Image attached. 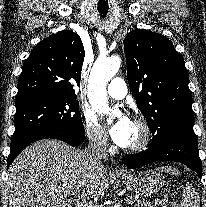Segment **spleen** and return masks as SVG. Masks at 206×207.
I'll use <instances>...</instances> for the list:
<instances>
[{
	"instance_id": "obj_1",
	"label": "spleen",
	"mask_w": 206,
	"mask_h": 207,
	"mask_svg": "<svg viewBox=\"0 0 206 207\" xmlns=\"http://www.w3.org/2000/svg\"><path fill=\"white\" fill-rule=\"evenodd\" d=\"M162 172H167L169 174L178 175L179 171L173 167H161L159 169ZM200 205V197L197 190L193 187L192 184L187 183L185 190L182 194V199L180 202L181 207H199Z\"/></svg>"
}]
</instances>
